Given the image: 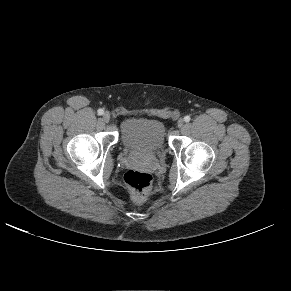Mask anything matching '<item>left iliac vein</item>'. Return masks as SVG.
<instances>
[{
  "mask_svg": "<svg viewBox=\"0 0 291 291\" xmlns=\"http://www.w3.org/2000/svg\"><path fill=\"white\" fill-rule=\"evenodd\" d=\"M178 128H182L184 126V120L183 119H179L178 123H177Z\"/></svg>",
  "mask_w": 291,
  "mask_h": 291,
  "instance_id": "1",
  "label": "left iliac vein"
}]
</instances>
